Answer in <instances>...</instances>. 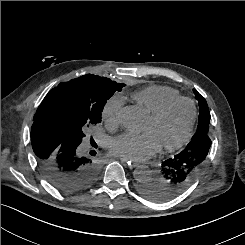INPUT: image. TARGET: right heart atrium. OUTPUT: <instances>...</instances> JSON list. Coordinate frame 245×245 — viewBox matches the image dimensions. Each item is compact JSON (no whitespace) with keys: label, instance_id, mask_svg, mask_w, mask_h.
Masks as SVG:
<instances>
[{"label":"right heart atrium","instance_id":"right-heart-atrium-1","mask_svg":"<svg viewBox=\"0 0 245 245\" xmlns=\"http://www.w3.org/2000/svg\"><path fill=\"white\" fill-rule=\"evenodd\" d=\"M123 102L124 99L121 96H113L106 101L103 107L102 116L109 125H117L118 115Z\"/></svg>","mask_w":245,"mask_h":245}]
</instances>
